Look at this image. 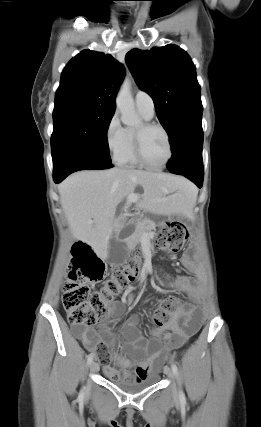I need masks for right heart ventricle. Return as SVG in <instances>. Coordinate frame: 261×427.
Segmentation results:
<instances>
[{"label":"right heart ventricle","instance_id":"e07e8e85","mask_svg":"<svg viewBox=\"0 0 261 427\" xmlns=\"http://www.w3.org/2000/svg\"><path fill=\"white\" fill-rule=\"evenodd\" d=\"M142 117L146 120V118L142 113H140ZM133 133L134 131L131 129H125V147L120 154V156L117 158V163L123 167H129V168H135L139 167L140 164L137 161L134 153V139H133Z\"/></svg>","mask_w":261,"mask_h":427}]
</instances>
